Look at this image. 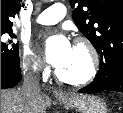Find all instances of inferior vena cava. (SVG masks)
<instances>
[{
	"instance_id": "obj_1",
	"label": "inferior vena cava",
	"mask_w": 123,
	"mask_h": 113,
	"mask_svg": "<svg viewBox=\"0 0 123 113\" xmlns=\"http://www.w3.org/2000/svg\"><path fill=\"white\" fill-rule=\"evenodd\" d=\"M25 98L34 100L40 95L39 75L29 69L24 73V81L19 89Z\"/></svg>"
}]
</instances>
